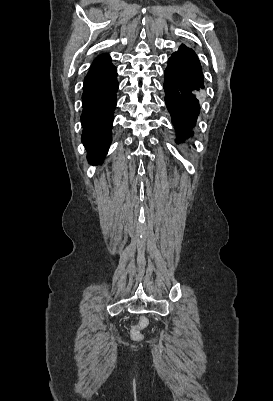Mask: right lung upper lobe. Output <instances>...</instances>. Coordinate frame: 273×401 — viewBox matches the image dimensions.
Segmentation results:
<instances>
[{"mask_svg":"<svg viewBox=\"0 0 273 401\" xmlns=\"http://www.w3.org/2000/svg\"><path fill=\"white\" fill-rule=\"evenodd\" d=\"M109 61H110V57L107 54H101L95 59V61L92 64L91 68L95 67L97 65H100V64H104V63L109 62Z\"/></svg>","mask_w":273,"mask_h":401,"instance_id":"right-lung-upper-lobe-1","label":"right lung upper lobe"}]
</instances>
